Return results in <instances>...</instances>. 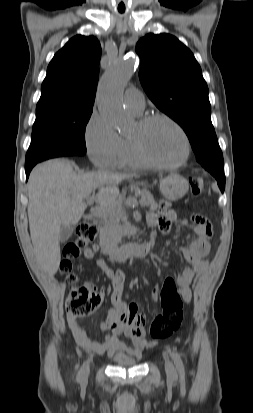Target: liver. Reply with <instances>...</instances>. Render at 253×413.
Returning a JSON list of instances; mask_svg holds the SVG:
<instances>
[{
  "instance_id": "liver-1",
  "label": "liver",
  "mask_w": 253,
  "mask_h": 413,
  "mask_svg": "<svg viewBox=\"0 0 253 413\" xmlns=\"http://www.w3.org/2000/svg\"><path fill=\"white\" fill-rule=\"evenodd\" d=\"M131 174L107 171L77 173L65 159L38 164L28 180V218L32 244L42 268L54 275L61 261L59 233L76 225L84 214V199L99 189L101 208L110 207L119 195L118 184Z\"/></svg>"
}]
</instances>
